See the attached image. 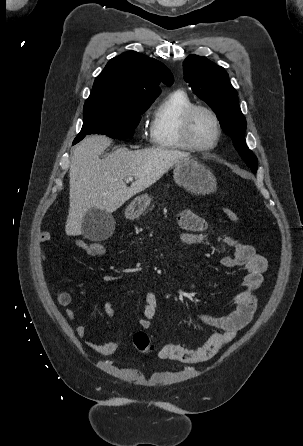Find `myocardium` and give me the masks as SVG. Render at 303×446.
<instances>
[{
	"label": "myocardium",
	"instance_id": "1",
	"mask_svg": "<svg viewBox=\"0 0 303 446\" xmlns=\"http://www.w3.org/2000/svg\"><path fill=\"white\" fill-rule=\"evenodd\" d=\"M197 111L206 112L212 118V120L214 122V125L216 128V137H215L214 142L209 146L196 145L191 138V134H190L191 121H192L194 114ZM180 136H181L183 143L185 144V146L188 149L197 151V152H208V151L215 149L218 146V144L221 140V137H222V126H221V123H220V120H219L217 114L211 108H209L205 105L194 104L193 106L188 108L182 116L181 125H180Z\"/></svg>",
	"mask_w": 303,
	"mask_h": 446
}]
</instances>
